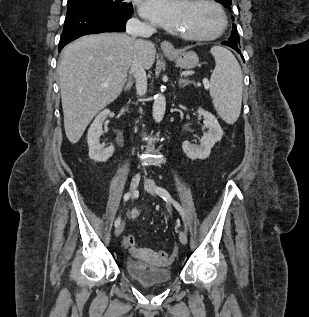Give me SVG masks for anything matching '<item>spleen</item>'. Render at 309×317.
<instances>
[{
	"instance_id": "3e777b00",
	"label": "spleen",
	"mask_w": 309,
	"mask_h": 317,
	"mask_svg": "<svg viewBox=\"0 0 309 317\" xmlns=\"http://www.w3.org/2000/svg\"><path fill=\"white\" fill-rule=\"evenodd\" d=\"M215 69L210 79V96L218 115L228 124L237 121L242 103L243 75L235 56L226 48L210 50Z\"/></svg>"
}]
</instances>
